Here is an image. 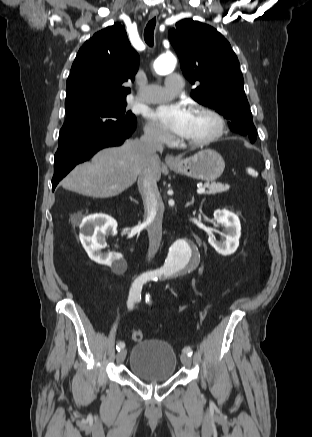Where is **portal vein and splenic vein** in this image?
Returning a JSON list of instances; mask_svg holds the SVG:
<instances>
[{"label": "portal vein and splenic vein", "instance_id": "obj_1", "mask_svg": "<svg viewBox=\"0 0 312 437\" xmlns=\"http://www.w3.org/2000/svg\"><path fill=\"white\" fill-rule=\"evenodd\" d=\"M204 192H205V187L199 188V189L197 190V193H198V194H203Z\"/></svg>", "mask_w": 312, "mask_h": 437}]
</instances>
